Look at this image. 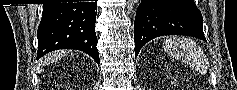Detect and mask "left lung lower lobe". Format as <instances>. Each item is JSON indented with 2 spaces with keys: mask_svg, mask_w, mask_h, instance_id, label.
<instances>
[{
  "mask_svg": "<svg viewBox=\"0 0 237 90\" xmlns=\"http://www.w3.org/2000/svg\"><path fill=\"white\" fill-rule=\"evenodd\" d=\"M202 25L194 0H142L134 22L135 57L158 36L188 35L206 41Z\"/></svg>",
  "mask_w": 237,
  "mask_h": 90,
  "instance_id": "obj_1",
  "label": "left lung lower lobe"
}]
</instances>
